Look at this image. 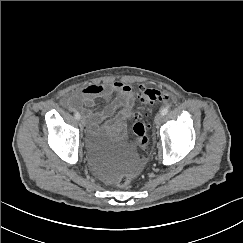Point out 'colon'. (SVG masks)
Returning a JSON list of instances; mask_svg holds the SVG:
<instances>
[{"instance_id": "5ec220e1", "label": "colon", "mask_w": 243, "mask_h": 243, "mask_svg": "<svg viewBox=\"0 0 243 243\" xmlns=\"http://www.w3.org/2000/svg\"><path fill=\"white\" fill-rule=\"evenodd\" d=\"M136 93L139 96V101L144 110L151 106L167 102L170 95L167 92L158 89L147 87L144 83H139L136 86ZM145 111L140 106H135L132 109L133 134L135 137V144L139 150L145 154H151L154 151L153 144L150 143L151 124L145 119ZM131 182V178L127 174L120 175L116 180V187L126 188Z\"/></svg>"}]
</instances>
